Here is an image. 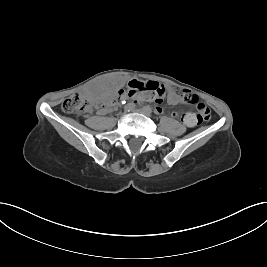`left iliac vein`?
Segmentation results:
<instances>
[{
  "mask_svg": "<svg viewBox=\"0 0 267 267\" xmlns=\"http://www.w3.org/2000/svg\"><path fill=\"white\" fill-rule=\"evenodd\" d=\"M138 112L146 115V116H150L151 113L149 111H147L146 109L142 108V109H139Z\"/></svg>",
  "mask_w": 267,
  "mask_h": 267,
  "instance_id": "1",
  "label": "left iliac vein"
}]
</instances>
